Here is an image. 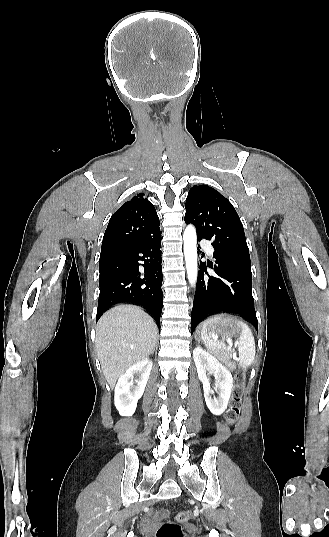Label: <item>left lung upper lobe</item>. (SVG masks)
I'll list each match as a JSON object with an SVG mask.
<instances>
[{
  "label": "left lung upper lobe",
  "mask_w": 329,
  "mask_h": 537,
  "mask_svg": "<svg viewBox=\"0 0 329 537\" xmlns=\"http://www.w3.org/2000/svg\"><path fill=\"white\" fill-rule=\"evenodd\" d=\"M185 207V222L195 225L197 240H211L215 253L251 266L243 225L223 195L207 185H194Z\"/></svg>",
  "instance_id": "obj_1"
}]
</instances>
